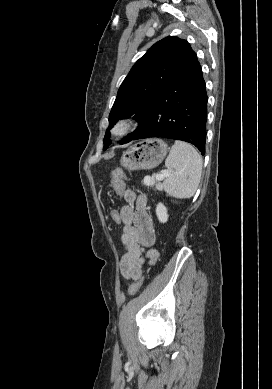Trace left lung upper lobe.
<instances>
[{"instance_id":"obj_1","label":"left lung upper lobe","mask_w":272,"mask_h":389,"mask_svg":"<svg viewBox=\"0 0 272 389\" xmlns=\"http://www.w3.org/2000/svg\"><path fill=\"white\" fill-rule=\"evenodd\" d=\"M195 57L196 53L190 44L177 37L169 36L155 43L135 63L121 84L109 114L108 130L119 119L128 118L133 114L139 123V128L160 92ZM135 131L120 143L129 142ZM108 137L107 131L103 140L104 150L111 143Z\"/></svg>"}]
</instances>
